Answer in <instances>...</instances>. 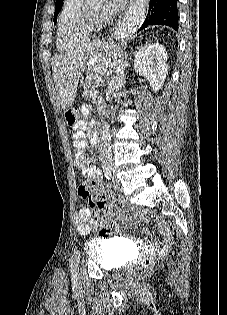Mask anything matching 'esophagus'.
<instances>
[{"mask_svg":"<svg viewBox=\"0 0 227 315\" xmlns=\"http://www.w3.org/2000/svg\"><path fill=\"white\" fill-rule=\"evenodd\" d=\"M113 33H114V35L117 34V27H115V28L113 29Z\"/></svg>","mask_w":227,"mask_h":315,"instance_id":"1","label":"esophagus"}]
</instances>
